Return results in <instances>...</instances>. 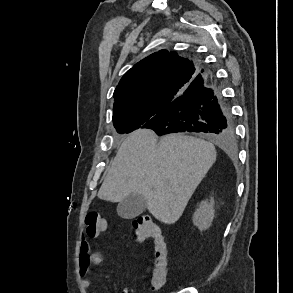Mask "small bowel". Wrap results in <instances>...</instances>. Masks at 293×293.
Masks as SVG:
<instances>
[{
    "label": "small bowel",
    "mask_w": 293,
    "mask_h": 293,
    "mask_svg": "<svg viewBox=\"0 0 293 293\" xmlns=\"http://www.w3.org/2000/svg\"><path fill=\"white\" fill-rule=\"evenodd\" d=\"M103 262H104L103 255L99 252H91L90 243L88 242L87 238L82 237L80 241V250H79V257H78V265H79L80 274L83 276L87 275L90 272L91 266L101 265ZM82 285L87 290L92 289V283L88 279H83ZM121 293H128V290L123 289Z\"/></svg>",
    "instance_id": "small-bowel-1"
}]
</instances>
